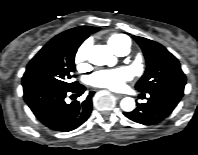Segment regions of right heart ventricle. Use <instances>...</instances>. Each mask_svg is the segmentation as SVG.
<instances>
[{
  "label": "right heart ventricle",
  "mask_w": 198,
  "mask_h": 155,
  "mask_svg": "<svg viewBox=\"0 0 198 155\" xmlns=\"http://www.w3.org/2000/svg\"><path fill=\"white\" fill-rule=\"evenodd\" d=\"M107 41L110 48L117 54L130 47L129 40L121 34H112L107 38Z\"/></svg>",
  "instance_id": "obj_1"
}]
</instances>
